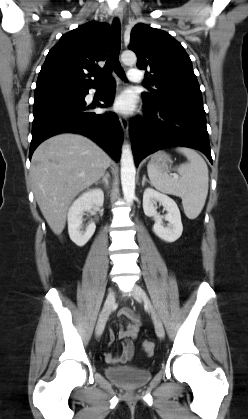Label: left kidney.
I'll list each match as a JSON object with an SVG mask.
<instances>
[{"label":"left kidney","mask_w":248,"mask_h":419,"mask_svg":"<svg viewBox=\"0 0 248 419\" xmlns=\"http://www.w3.org/2000/svg\"><path fill=\"white\" fill-rule=\"evenodd\" d=\"M157 202L167 211L165 220L168 221V224L166 227L163 226L162 217L157 213ZM143 210L146 216L155 218L153 232L160 239L171 243L181 236L183 231L181 215L176 202L172 198L153 188H146L143 194Z\"/></svg>","instance_id":"obj_1"}]
</instances>
